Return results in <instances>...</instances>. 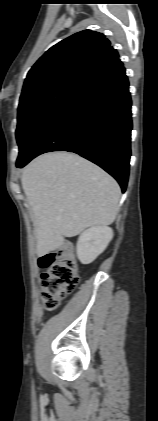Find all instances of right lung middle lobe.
Segmentation results:
<instances>
[{
    "label": "right lung middle lobe",
    "instance_id": "right-lung-middle-lobe-1",
    "mask_svg": "<svg viewBox=\"0 0 158 421\" xmlns=\"http://www.w3.org/2000/svg\"><path fill=\"white\" fill-rule=\"evenodd\" d=\"M82 85L74 82L58 83L20 98L16 129L19 146L17 164L28 157L40 133Z\"/></svg>",
    "mask_w": 158,
    "mask_h": 421
}]
</instances>
